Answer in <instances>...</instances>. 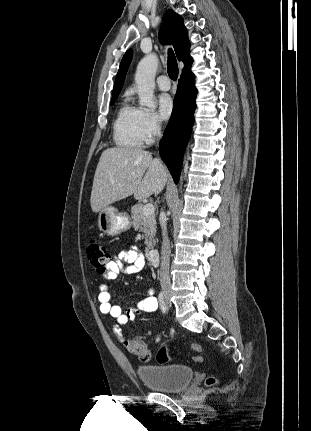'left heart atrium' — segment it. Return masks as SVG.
<instances>
[{
  "label": "left heart atrium",
  "mask_w": 311,
  "mask_h": 431,
  "mask_svg": "<svg viewBox=\"0 0 311 431\" xmlns=\"http://www.w3.org/2000/svg\"><path fill=\"white\" fill-rule=\"evenodd\" d=\"M159 111L163 119H169L174 113V101L169 94H163L160 96Z\"/></svg>",
  "instance_id": "obj_1"
}]
</instances>
